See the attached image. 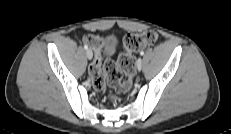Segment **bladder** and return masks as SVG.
Here are the masks:
<instances>
[{"label": "bladder", "mask_w": 231, "mask_h": 134, "mask_svg": "<svg viewBox=\"0 0 231 134\" xmlns=\"http://www.w3.org/2000/svg\"><path fill=\"white\" fill-rule=\"evenodd\" d=\"M116 44H117V39L114 36H112V35L107 36L104 39V42L102 44L103 56L104 57L110 56L113 53Z\"/></svg>", "instance_id": "31cf9c89"}]
</instances>
